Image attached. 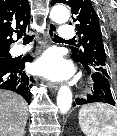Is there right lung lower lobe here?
Masks as SVG:
<instances>
[{
    "label": "right lung lower lobe",
    "mask_w": 117,
    "mask_h": 136,
    "mask_svg": "<svg viewBox=\"0 0 117 136\" xmlns=\"http://www.w3.org/2000/svg\"><path fill=\"white\" fill-rule=\"evenodd\" d=\"M32 61L31 56L13 59L10 62L0 61V89H7L20 94L28 103L31 100L30 87L33 77H28L24 70L25 62Z\"/></svg>",
    "instance_id": "obj_1"
}]
</instances>
